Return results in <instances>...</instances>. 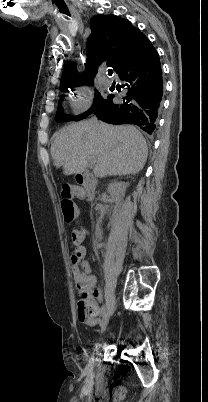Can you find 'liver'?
Segmentation results:
<instances>
[{"mask_svg":"<svg viewBox=\"0 0 208 402\" xmlns=\"http://www.w3.org/2000/svg\"><path fill=\"white\" fill-rule=\"evenodd\" d=\"M51 156L63 174H82L94 164V174L127 176L138 174L145 166L148 148L145 138L134 126H91L89 120L63 128L51 144ZM89 162V164H88Z\"/></svg>","mask_w":208,"mask_h":402,"instance_id":"6515ba94","label":"liver"}]
</instances>
